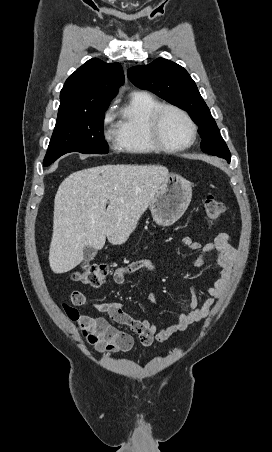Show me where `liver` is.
Listing matches in <instances>:
<instances>
[{
	"instance_id": "1",
	"label": "liver",
	"mask_w": 272,
	"mask_h": 452,
	"mask_svg": "<svg viewBox=\"0 0 272 452\" xmlns=\"http://www.w3.org/2000/svg\"><path fill=\"white\" fill-rule=\"evenodd\" d=\"M168 173L159 165L107 164L66 177L54 200L51 270H72L85 246L100 250L106 237L113 245L125 243Z\"/></svg>"
}]
</instances>
